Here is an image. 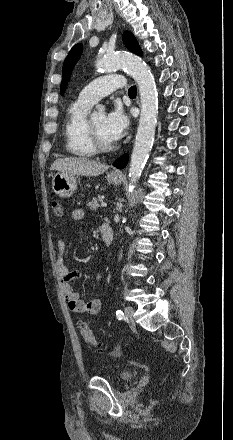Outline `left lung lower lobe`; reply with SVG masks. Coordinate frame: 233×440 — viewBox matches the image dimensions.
<instances>
[{
  "label": "left lung lower lobe",
  "mask_w": 233,
  "mask_h": 440,
  "mask_svg": "<svg viewBox=\"0 0 233 440\" xmlns=\"http://www.w3.org/2000/svg\"><path fill=\"white\" fill-rule=\"evenodd\" d=\"M128 162V155L125 154L123 156H121L120 158H118L116 160V162L113 164V166L117 167V168H124L126 166Z\"/></svg>",
  "instance_id": "0a47b994"
}]
</instances>
